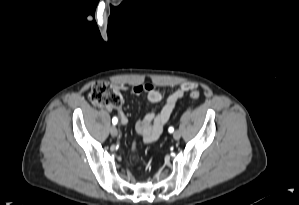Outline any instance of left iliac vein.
<instances>
[{
    "mask_svg": "<svg viewBox=\"0 0 299 205\" xmlns=\"http://www.w3.org/2000/svg\"><path fill=\"white\" fill-rule=\"evenodd\" d=\"M180 137H181V132L178 131V130H176V131L173 133V138H174L175 140H179Z\"/></svg>",
    "mask_w": 299,
    "mask_h": 205,
    "instance_id": "obj_1",
    "label": "left iliac vein"
}]
</instances>
